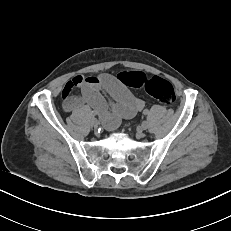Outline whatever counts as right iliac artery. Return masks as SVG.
Here are the masks:
<instances>
[{"instance_id": "82829eb1", "label": "right iliac artery", "mask_w": 231, "mask_h": 231, "mask_svg": "<svg viewBox=\"0 0 231 231\" xmlns=\"http://www.w3.org/2000/svg\"><path fill=\"white\" fill-rule=\"evenodd\" d=\"M91 115L94 117V116H96V113L94 111H92Z\"/></svg>"}]
</instances>
